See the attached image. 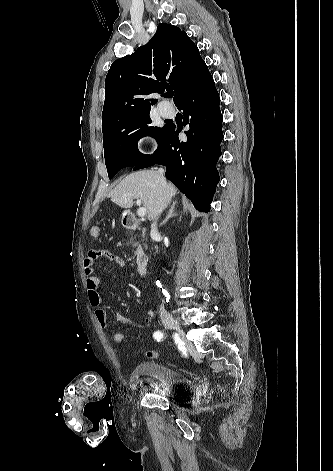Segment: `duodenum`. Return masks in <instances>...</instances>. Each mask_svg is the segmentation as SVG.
Returning <instances> with one entry per match:
<instances>
[{
	"label": "duodenum",
	"mask_w": 333,
	"mask_h": 471,
	"mask_svg": "<svg viewBox=\"0 0 333 471\" xmlns=\"http://www.w3.org/2000/svg\"><path fill=\"white\" fill-rule=\"evenodd\" d=\"M123 225L130 230H136L139 227L138 221L134 214L131 212H126L122 218ZM136 271L139 275H145L148 270V259L146 254L143 251H138L136 253L135 259Z\"/></svg>",
	"instance_id": "obj_1"
}]
</instances>
